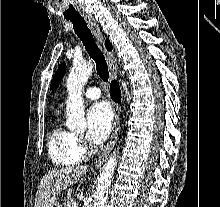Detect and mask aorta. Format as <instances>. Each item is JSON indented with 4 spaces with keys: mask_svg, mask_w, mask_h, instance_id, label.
<instances>
[{
    "mask_svg": "<svg viewBox=\"0 0 220 207\" xmlns=\"http://www.w3.org/2000/svg\"><path fill=\"white\" fill-rule=\"evenodd\" d=\"M93 70L90 62L75 63L67 78L68 99L66 102V126L73 131H84L86 121L84 117V104L82 89ZM117 153L109 157L102 168L98 178L97 188L94 192L93 207H105L109 187L117 166Z\"/></svg>",
    "mask_w": 220,
    "mask_h": 207,
    "instance_id": "1",
    "label": "aorta"
}]
</instances>
